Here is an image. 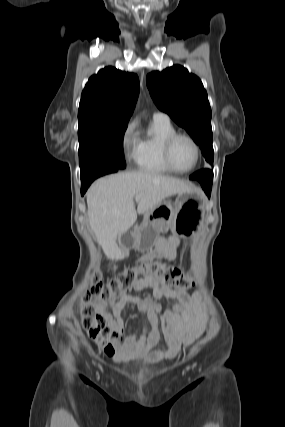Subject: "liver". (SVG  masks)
<instances>
[{"mask_svg":"<svg viewBox=\"0 0 285 427\" xmlns=\"http://www.w3.org/2000/svg\"><path fill=\"white\" fill-rule=\"evenodd\" d=\"M193 186L152 172H123L101 178L87 192L89 224L109 259L119 257L118 235L126 233L145 214L172 195L192 192ZM140 196L137 211L134 197Z\"/></svg>","mask_w":285,"mask_h":427,"instance_id":"obj_1","label":"liver"}]
</instances>
